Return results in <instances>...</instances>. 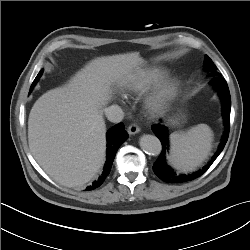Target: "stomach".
<instances>
[{"instance_id":"1","label":"stomach","mask_w":250,"mask_h":250,"mask_svg":"<svg viewBox=\"0 0 250 250\" xmlns=\"http://www.w3.org/2000/svg\"><path fill=\"white\" fill-rule=\"evenodd\" d=\"M171 124H172V125L178 124V119L172 120V121H171Z\"/></svg>"}]
</instances>
